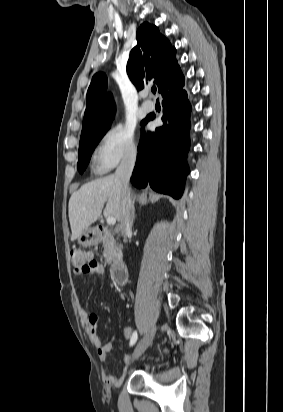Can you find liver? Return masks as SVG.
I'll use <instances>...</instances> for the list:
<instances>
[{
	"label": "liver",
	"mask_w": 283,
	"mask_h": 412,
	"mask_svg": "<svg viewBox=\"0 0 283 412\" xmlns=\"http://www.w3.org/2000/svg\"><path fill=\"white\" fill-rule=\"evenodd\" d=\"M122 186L115 175L88 182L75 191L69 200L68 214L72 231L71 240H76L90 225L97 221L103 210L105 217L121 219Z\"/></svg>",
	"instance_id": "1"
}]
</instances>
